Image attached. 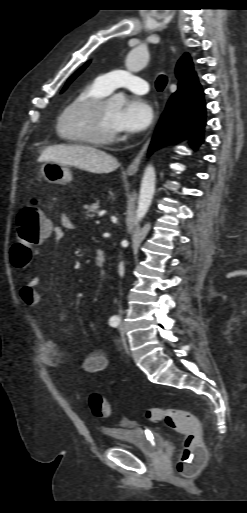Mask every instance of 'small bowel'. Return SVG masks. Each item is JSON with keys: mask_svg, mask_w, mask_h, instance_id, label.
Instances as JSON below:
<instances>
[{"mask_svg": "<svg viewBox=\"0 0 247 513\" xmlns=\"http://www.w3.org/2000/svg\"><path fill=\"white\" fill-rule=\"evenodd\" d=\"M74 228L75 224L64 214L61 217V225L52 226L46 238L52 237L56 242L62 241L65 237V230ZM40 286L41 279L39 277L30 278L27 283L19 289L21 302L28 307L40 304L43 301V297L39 292ZM64 358V353L58 348L53 339L47 337L41 355L42 363L52 368H61L64 366ZM108 363V357L103 351L94 350L84 356L81 362V369L86 373H98L105 370Z\"/></svg>", "mask_w": 247, "mask_h": 513, "instance_id": "1", "label": "small bowel"}]
</instances>
